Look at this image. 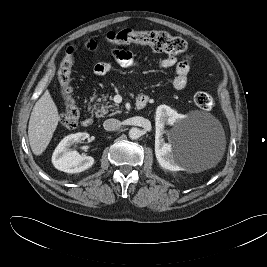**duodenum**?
Returning a JSON list of instances; mask_svg holds the SVG:
<instances>
[{
	"mask_svg": "<svg viewBox=\"0 0 267 267\" xmlns=\"http://www.w3.org/2000/svg\"><path fill=\"white\" fill-rule=\"evenodd\" d=\"M147 104H148V97L144 94L140 95L136 100V108L139 110L145 108ZM93 122L94 119L91 116H89L83 119L82 125L84 127H89L93 124Z\"/></svg>",
	"mask_w": 267,
	"mask_h": 267,
	"instance_id": "obj_1",
	"label": "duodenum"
}]
</instances>
